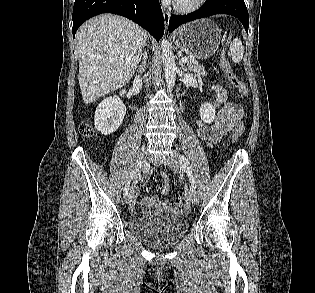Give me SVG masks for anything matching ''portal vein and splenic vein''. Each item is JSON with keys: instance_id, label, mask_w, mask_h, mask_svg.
Masks as SVG:
<instances>
[{"instance_id": "1", "label": "portal vein and splenic vein", "mask_w": 315, "mask_h": 293, "mask_svg": "<svg viewBox=\"0 0 315 293\" xmlns=\"http://www.w3.org/2000/svg\"><path fill=\"white\" fill-rule=\"evenodd\" d=\"M181 62H182V63H187V62H188V58L183 57V58L181 59Z\"/></svg>"}]
</instances>
